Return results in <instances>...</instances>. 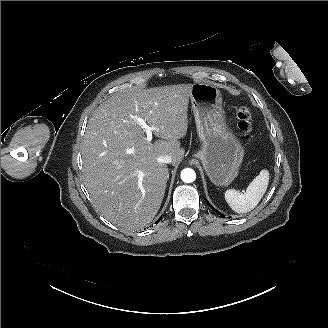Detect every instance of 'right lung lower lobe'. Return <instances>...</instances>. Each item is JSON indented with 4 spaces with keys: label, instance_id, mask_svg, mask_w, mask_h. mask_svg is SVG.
Instances as JSON below:
<instances>
[{
    "label": "right lung lower lobe",
    "instance_id": "right-lung-lower-lobe-1",
    "mask_svg": "<svg viewBox=\"0 0 328 328\" xmlns=\"http://www.w3.org/2000/svg\"><path fill=\"white\" fill-rule=\"evenodd\" d=\"M161 218H159L157 221H156V224L160 221Z\"/></svg>",
    "mask_w": 328,
    "mask_h": 328
}]
</instances>
